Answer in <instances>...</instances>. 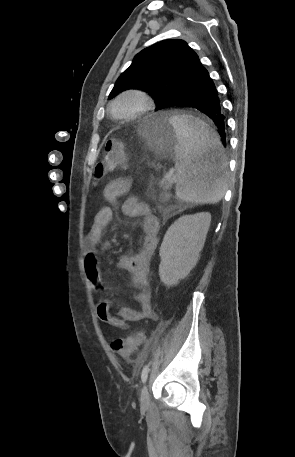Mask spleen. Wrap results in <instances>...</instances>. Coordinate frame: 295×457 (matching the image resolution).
<instances>
[{
    "label": "spleen",
    "instance_id": "obj_1",
    "mask_svg": "<svg viewBox=\"0 0 295 457\" xmlns=\"http://www.w3.org/2000/svg\"><path fill=\"white\" fill-rule=\"evenodd\" d=\"M177 138L176 196L197 204H215L227 190L224 154L218 134L205 122L191 115H174L170 118ZM216 154L211 162L208 154Z\"/></svg>",
    "mask_w": 295,
    "mask_h": 457
}]
</instances>
